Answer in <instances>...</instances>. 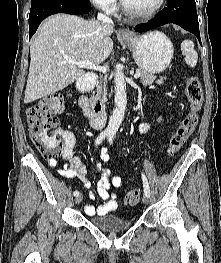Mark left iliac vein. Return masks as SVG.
Here are the masks:
<instances>
[{
    "label": "left iliac vein",
    "mask_w": 221,
    "mask_h": 263,
    "mask_svg": "<svg viewBox=\"0 0 221 263\" xmlns=\"http://www.w3.org/2000/svg\"><path fill=\"white\" fill-rule=\"evenodd\" d=\"M142 201L144 204H148L149 203V197L147 195H144L142 198Z\"/></svg>",
    "instance_id": "left-iliac-vein-1"
}]
</instances>
